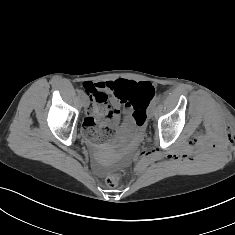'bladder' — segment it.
<instances>
[{
  "mask_svg": "<svg viewBox=\"0 0 235 235\" xmlns=\"http://www.w3.org/2000/svg\"><path fill=\"white\" fill-rule=\"evenodd\" d=\"M120 136L123 138H128L133 134V128L129 125V126H125L123 128L120 129Z\"/></svg>",
  "mask_w": 235,
  "mask_h": 235,
  "instance_id": "31cf9c89",
  "label": "bladder"
}]
</instances>
